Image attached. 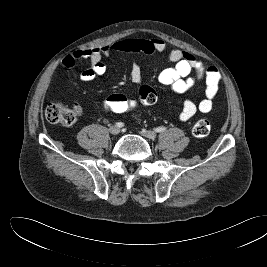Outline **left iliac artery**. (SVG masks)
<instances>
[{"label": "left iliac artery", "mask_w": 267, "mask_h": 267, "mask_svg": "<svg viewBox=\"0 0 267 267\" xmlns=\"http://www.w3.org/2000/svg\"><path fill=\"white\" fill-rule=\"evenodd\" d=\"M166 127H164V126H161V127H157V128H155L154 130L156 131V132H158V133H161V132H164V131H166Z\"/></svg>", "instance_id": "obj_1"}]
</instances>
